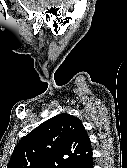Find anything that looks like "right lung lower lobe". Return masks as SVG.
<instances>
[{
  "label": "right lung lower lobe",
  "mask_w": 127,
  "mask_h": 168,
  "mask_svg": "<svg viewBox=\"0 0 127 168\" xmlns=\"http://www.w3.org/2000/svg\"><path fill=\"white\" fill-rule=\"evenodd\" d=\"M75 168H93V158L92 156L85 160L84 162L75 166Z\"/></svg>",
  "instance_id": "98d812e1"
}]
</instances>
